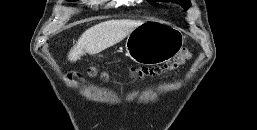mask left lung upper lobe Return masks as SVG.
I'll return each mask as SVG.
<instances>
[{
	"label": "left lung upper lobe",
	"mask_w": 257,
	"mask_h": 130,
	"mask_svg": "<svg viewBox=\"0 0 257 130\" xmlns=\"http://www.w3.org/2000/svg\"><path fill=\"white\" fill-rule=\"evenodd\" d=\"M148 1H159V0H148ZM177 3H179L185 10H187L191 3H190V0H173Z\"/></svg>",
	"instance_id": "1"
}]
</instances>
